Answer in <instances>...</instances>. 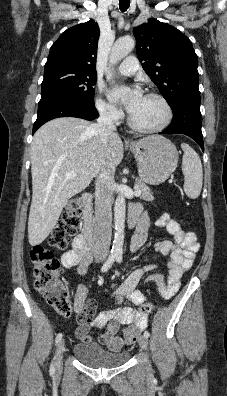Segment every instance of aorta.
Listing matches in <instances>:
<instances>
[{
    "instance_id": "obj_1",
    "label": "aorta",
    "mask_w": 227,
    "mask_h": 396,
    "mask_svg": "<svg viewBox=\"0 0 227 396\" xmlns=\"http://www.w3.org/2000/svg\"><path fill=\"white\" fill-rule=\"evenodd\" d=\"M135 41L131 36H124L119 38L113 45L109 62L111 65L116 64L124 57H126L134 48ZM108 80H113L111 73L107 75ZM125 197L120 194L117 196L114 205V223H115V237L113 241V251L122 252L124 243V227H125Z\"/></svg>"
}]
</instances>
